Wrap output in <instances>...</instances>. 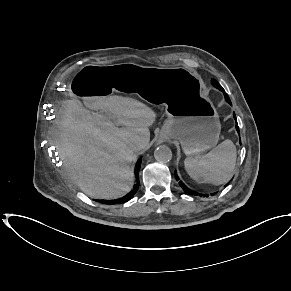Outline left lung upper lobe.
<instances>
[{
	"label": "left lung upper lobe",
	"mask_w": 291,
	"mask_h": 291,
	"mask_svg": "<svg viewBox=\"0 0 291 291\" xmlns=\"http://www.w3.org/2000/svg\"><path fill=\"white\" fill-rule=\"evenodd\" d=\"M211 83L214 87L218 88L219 90L222 88V86L215 79H212Z\"/></svg>",
	"instance_id": "obj_1"
}]
</instances>
